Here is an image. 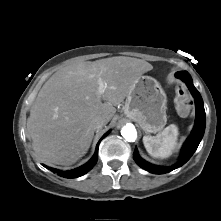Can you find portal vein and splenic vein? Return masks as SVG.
I'll return each instance as SVG.
<instances>
[{"label":"portal vein and splenic vein","instance_id":"portal-vein-and-splenic-vein-1","mask_svg":"<svg viewBox=\"0 0 221 221\" xmlns=\"http://www.w3.org/2000/svg\"><path fill=\"white\" fill-rule=\"evenodd\" d=\"M107 88L106 83H104L101 79H99V94H103L105 89Z\"/></svg>","mask_w":221,"mask_h":221}]
</instances>
